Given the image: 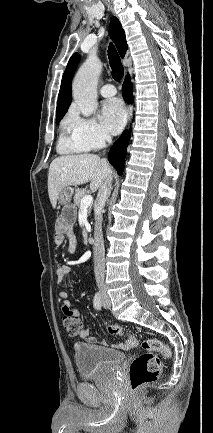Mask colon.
<instances>
[{"mask_svg":"<svg viewBox=\"0 0 213 433\" xmlns=\"http://www.w3.org/2000/svg\"><path fill=\"white\" fill-rule=\"evenodd\" d=\"M63 326L69 335H77L82 329V320L79 313H65ZM106 328L111 335L125 336L128 341L137 343V338L131 334H124L119 325H107ZM141 346L146 352L135 357L129 367V385L133 391L155 381L159 377L162 363L156 353L161 354L164 358L171 355L169 346L156 338L143 340Z\"/></svg>","mask_w":213,"mask_h":433,"instance_id":"colon-1","label":"colon"}]
</instances>
